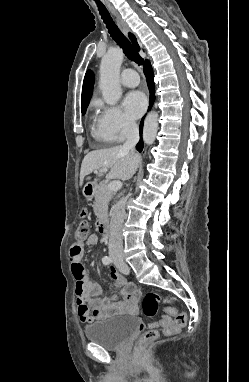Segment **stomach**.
Instances as JSON below:
<instances>
[{
  "label": "stomach",
  "instance_id": "stomach-1",
  "mask_svg": "<svg viewBox=\"0 0 249 382\" xmlns=\"http://www.w3.org/2000/svg\"><path fill=\"white\" fill-rule=\"evenodd\" d=\"M95 189H96V186L94 184V181L93 180H88L87 184L83 188V195L86 198H91L95 194Z\"/></svg>",
  "mask_w": 249,
  "mask_h": 382
}]
</instances>
